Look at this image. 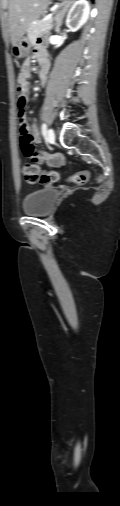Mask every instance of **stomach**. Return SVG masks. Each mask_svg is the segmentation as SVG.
<instances>
[{
	"mask_svg": "<svg viewBox=\"0 0 120 506\" xmlns=\"http://www.w3.org/2000/svg\"><path fill=\"white\" fill-rule=\"evenodd\" d=\"M32 44L28 37L22 36L17 43L12 46V54L15 58L21 59L29 55Z\"/></svg>",
	"mask_w": 120,
	"mask_h": 506,
	"instance_id": "obj_1",
	"label": "stomach"
}]
</instances>
